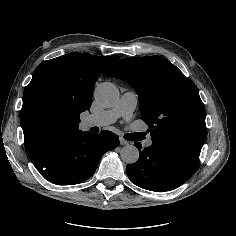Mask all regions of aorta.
<instances>
[{"mask_svg":"<svg viewBox=\"0 0 236 236\" xmlns=\"http://www.w3.org/2000/svg\"><path fill=\"white\" fill-rule=\"evenodd\" d=\"M94 97L102 106L111 107L118 101L119 91L113 83L104 82L96 87ZM120 156L123 162L133 164L139 159V150L134 145H126L121 149Z\"/></svg>","mask_w":236,"mask_h":236,"instance_id":"obj_1","label":"aorta"}]
</instances>
